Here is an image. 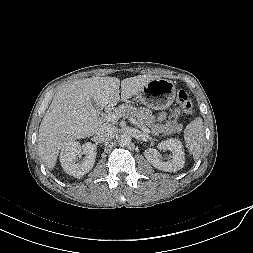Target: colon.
<instances>
[{"mask_svg": "<svg viewBox=\"0 0 253 253\" xmlns=\"http://www.w3.org/2000/svg\"><path fill=\"white\" fill-rule=\"evenodd\" d=\"M176 99L185 114H193V104L189 98L188 93L185 90H179Z\"/></svg>", "mask_w": 253, "mask_h": 253, "instance_id": "obj_1", "label": "colon"}]
</instances>
